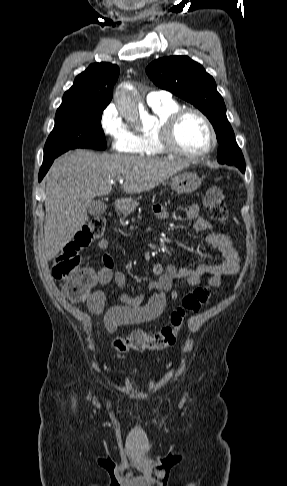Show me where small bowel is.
<instances>
[{"instance_id":"1","label":"small bowel","mask_w":287,"mask_h":486,"mask_svg":"<svg viewBox=\"0 0 287 486\" xmlns=\"http://www.w3.org/2000/svg\"><path fill=\"white\" fill-rule=\"evenodd\" d=\"M186 217L194 221V230L197 232L210 231L211 224L200 216L199 207L195 204L189 205L186 210ZM152 214L157 219H166L169 212L162 205H155ZM207 244L217 250L222 257L219 263H200L195 268L176 267L155 263L152 273L156 277L149 283V289L153 294L146 298L144 294L130 296L123 293L120 296L121 305L110 308L104 315L106 329L113 333L120 326L138 325L149 323L157 319L165 309L166 299L170 297L176 300L179 297V290L175 286L177 280H185L189 286H199L202 277L210 275L208 283L212 287H218L221 278L232 276L240 270V259L238 252L233 247L232 237L229 233L210 232L206 237ZM98 247L103 251L102 267L96 274L95 284L105 286L114 283L117 287L126 285L125 274L115 268L112 256L107 252L109 241L101 239ZM107 301V294L102 289L92 292L87 301L90 312L102 314Z\"/></svg>"}]
</instances>
